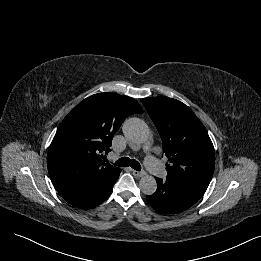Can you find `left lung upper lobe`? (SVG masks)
<instances>
[{
    "instance_id": "obj_1",
    "label": "left lung upper lobe",
    "mask_w": 261,
    "mask_h": 261,
    "mask_svg": "<svg viewBox=\"0 0 261 261\" xmlns=\"http://www.w3.org/2000/svg\"><path fill=\"white\" fill-rule=\"evenodd\" d=\"M141 102L160 134L169 160L166 180L206 190L214 171L215 153L203 124L176 99L149 97Z\"/></svg>"
}]
</instances>
